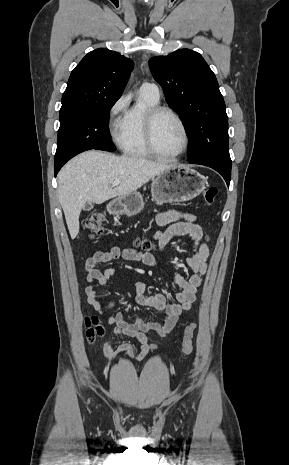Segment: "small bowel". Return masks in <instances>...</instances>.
Here are the masks:
<instances>
[{
    "mask_svg": "<svg viewBox=\"0 0 289 465\" xmlns=\"http://www.w3.org/2000/svg\"><path fill=\"white\" fill-rule=\"evenodd\" d=\"M157 223L160 227H166L168 224H171L154 234L162 253L168 244L177 237L189 234L194 243L193 252L186 258V262L192 269L193 274L189 277H184L177 273L173 274L174 302H167L165 295L162 293L147 295L146 283L142 281L134 282L136 303L154 310L163 311L164 317L162 321H145L139 317H135L131 322H128L124 319L122 312H117L115 315H106L105 311L113 308L116 302L110 301L107 304H102L96 290V285L107 284L110 278L116 273L114 269H107L104 272L100 271L97 268L99 264H105L122 258L126 261L157 266V260L153 255L133 248L122 250L119 247H112L108 251L95 252L86 262L87 286L85 294L87 301L96 312L104 317L108 324L115 326L114 336L104 344L103 348L104 355L108 361L114 360L122 352H126L130 358H135L133 346L129 343H123L116 349L111 348V342L117 335L133 337L139 341L141 344V353L136 357L138 359L144 358L149 351L157 350L158 343H149L146 333L152 330L161 337L169 334L175 327L179 316L191 308L196 300L198 289L203 283L209 256V238L204 235L201 226L197 224L196 216L179 210H171L159 214L157 216Z\"/></svg>",
    "mask_w": 289,
    "mask_h": 465,
    "instance_id": "1",
    "label": "small bowel"
}]
</instances>
